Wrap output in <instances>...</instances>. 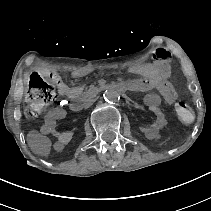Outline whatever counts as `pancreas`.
I'll return each instance as SVG.
<instances>
[{
    "label": "pancreas",
    "mask_w": 211,
    "mask_h": 211,
    "mask_svg": "<svg viewBox=\"0 0 211 211\" xmlns=\"http://www.w3.org/2000/svg\"><path fill=\"white\" fill-rule=\"evenodd\" d=\"M94 87H91L89 90H86L84 93H83V97L85 98H88V95H89V92L93 89Z\"/></svg>",
    "instance_id": "cf45deb5"
}]
</instances>
